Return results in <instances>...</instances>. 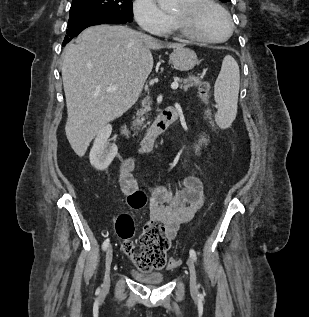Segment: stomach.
Here are the masks:
<instances>
[{
  "mask_svg": "<svg viewBox=\"0 0 309 317\" xmlns=\"http://www.w3.org/2000/svg\"><path fill=\"white\" fill-rule=\"evenodd\" d=\"M169 59L176 70L183 72L193 69L198 63V57L195 51L184 47L175 49Z\"/></svg>",
  "mask_w": 309,
  "mask_h": 317,
  "instance_id": "0dacf381",
  "label": "stomach"
}]
</instances>
